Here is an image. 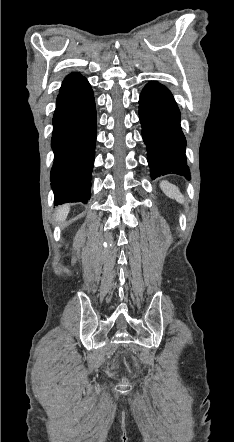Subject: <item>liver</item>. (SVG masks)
Wrapping results in <instances>:
<instances>
[{
	"instance_id": "liver-1",
	"label": "liver",
	"mask_w": 234,
	"mask_h": 442,
	"mask_svg": "<svg viewBox=\"0 0 234 442\" xmlns=\"http://www.w3.org/2000/svg\"><path fill=\"white\" fill-rule=\"evenodd\" d=\"M69 210V205H63L59 207L56 213V220L63 223L69 213Z\"/></svg>"
}]
</instances>
